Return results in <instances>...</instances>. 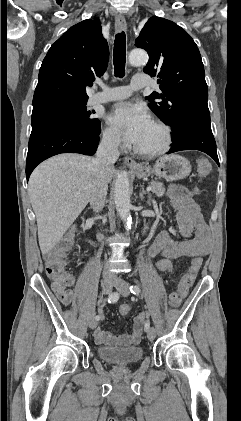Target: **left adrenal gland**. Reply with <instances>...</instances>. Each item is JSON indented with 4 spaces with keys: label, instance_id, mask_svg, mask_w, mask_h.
<instances>
[{
    "label": "left adrenal gland",
    "instance_id": "1",
    "mask_svg": "<svg viewBox=\"0 0 241 421\" xmlns=\"http://www.w3.org/2000/svg\"><path fill=\"white\" fill-rule=\"evenodd\" d=\"M140 187H141V192L139 194L140 199L143 200L144 199V195H146V197H147V204L150 205L151 204V194L147 193L144 190V186L141 185Z\"/></svg>",
    "mask_w": 241,
    "mask_h": 421
}]
</instances>
